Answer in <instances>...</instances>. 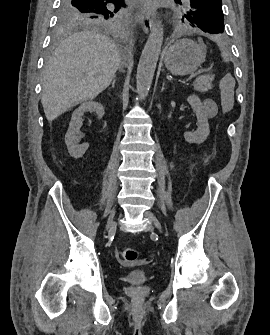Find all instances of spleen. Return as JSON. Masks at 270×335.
Masks as SVG:
<instances>
[{
  "label": "spleen",
  "mask_w": 270,
  "mask_h": 335,
  "mask_svg": "<svg viewBox=\"0 0 270 335\" xmlns=\"http://www.w3.org/2000/svg\"><path fill=\"white\" fill-rule=\"evenodd\" d=\"M221 56L223 58V62H229V54H227V52H221Z\"/></svg>",
  "instance_id": "spleen-1"
}]
</instances>
